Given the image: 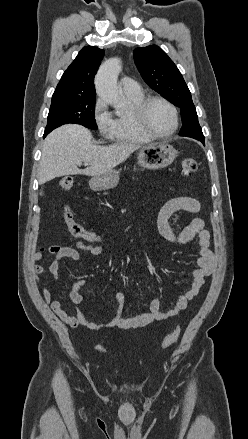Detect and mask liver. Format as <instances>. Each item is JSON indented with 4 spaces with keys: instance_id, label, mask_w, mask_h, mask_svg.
<instances>
[{
    "instance_id": "liver-1",
    "label": "liver",
    "mask_w": 248,
    "mask_h": 439,
    "mask_svg": "<svg viewBox=\"0 0 248 439\" xmlns=\"http://www.w3.org/2000/svg\"><path fill=\"white\" fill-rule=\"evenodd\" d=\"M89 129L76 124L61 126L44 140L39 169V183L55 177L83 174L98 176L124 162L140 145L121 142L98 146L92 141ZM88 165L83 170L78 163Z\"/></svg>"
}]
</instances>
